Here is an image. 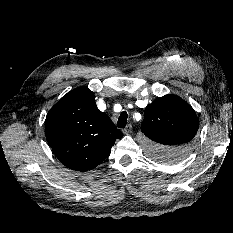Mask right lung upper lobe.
I'll list each match as a JSON object with an SVG mask.
<instances>
[{
    "label": "right lung upper lobe",
    "instance_id": "right-lung-upper-lobe-1",
    "mask_svg": "<svg viewBox=\"0 0 233 233\" xmlns=\"http://www.w3.org/2000/svg\"><path fill=\"white\" fill-rule=\"evenodd\" d=\"M45 135L60 162L76 171L95 168L109 156L116 139L122 138L87 87L70 91L50 109Z\"/></svg>",
    "mask_w": 233,
    "mask_h": 233
}]
</instances>
